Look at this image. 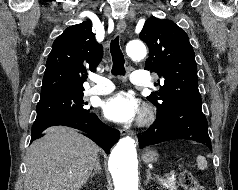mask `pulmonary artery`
I'll use <instances>...</instances> for the list:
<instances>
[{
  "mask_svg": "<svg viewBox=\"0 0 238 190\" xmlns=\"http://www.w3.org/2000/svg\"><path fill=\"white\" fill-rule=\"evenodd\" d=\"M93 81L96 83L88 90L90 95H105L114 90V84L107 78L94 77ZM131 82L136 86L146 87L150 84V76L147 71L137 70L132 73Z\"/></svg>",
  "mask_w": 238,
  "mask_h": 190,
  "instance_id": "1",
  "label": "pulmonary artery"
}]
</instances>
